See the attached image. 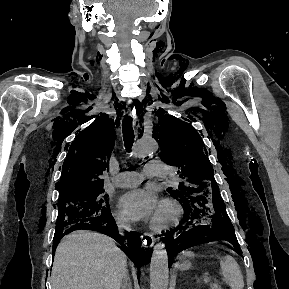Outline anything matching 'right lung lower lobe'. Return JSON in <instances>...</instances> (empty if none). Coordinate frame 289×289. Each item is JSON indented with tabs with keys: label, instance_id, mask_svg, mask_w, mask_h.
Segmentation results:
<instances>
[{
	"label": "right lung lower lobe",
	"instance_id": "obj_1",
	"mask_svg": "<svg viewBox=\"0 0 289 289\" xmlns=\"http://www.w3.org/2000/svg\"><path fill=\"white\" fill-rule=\"evenodd\" d=\"M81 229L97 231L105 235H108L114 240H116L119 244L122 245L123 247L122 250L133 261V263L138 267V269L145 262V259H148V256L144 255L145 252L141 245L140 239L141 234L137 232L128 233L127 234L128 239L124 240V238L118 232V227L110 211L105 215L99 217H88L81 219L79 222L72 225L62 235L60 236L55 235L53 242V253H55L56 246L58 245L59 240L64 235L72 231Z\"/></svg>",
	"mask_w": 289,
	"mask_h": 289
}]
</instances>
